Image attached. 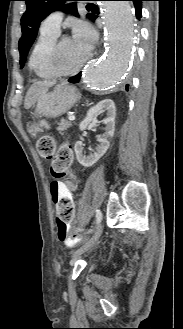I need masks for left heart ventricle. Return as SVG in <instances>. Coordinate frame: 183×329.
I'll return each instance as SVG.
<instances>
[{"label": "left heart ventricle", "mask_w": 183, "mask_h": 329, "mask_svg": "<svg viewBox=\"0 0 183 329\" xmlns=\"http://www.w3.org/2000/svg\"><path fill=\"white\" fill-rule=\"evenodd\" d=\"M88 52L78 48L72 39L65 38L62 42L61 67L63 69L73 68L82 63Z\"/></svg>", "instance_id": "1"}]
</instances>
